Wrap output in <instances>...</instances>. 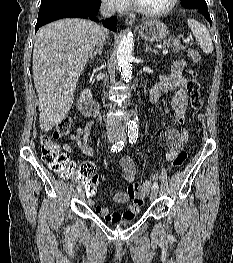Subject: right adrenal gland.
<instances>
[{
	"label": "right adrenal gland",
	"mask_w": 233,
	"mask_h": 263,
	"mask_svg": "<svg viewBox=\"0 0 233 263\" xmlns=\"http://www.w3.org/2000/svg\"><path fill=\"white\" fill-rule=\"evenodd\" d=\"M102 46H100L98 49H96V51H94L93 54H91L90 58L91 60H94V58H96L97 55H101L102 51H101Z\"/></svg>",
	"instance_id": "right-adrenal-gland-1"
}]
</instances>
